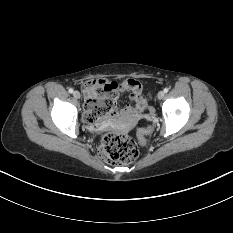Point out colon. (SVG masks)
Instances as JSON below:
<instances>
[{
    "mask_svg": "<svg viewBox=\"0 0 233 233\" xmlns=\"http://www.w3.org/2000/svg\"><path fill=\"white\" fill-rule=\"evenodd\" d=\"M116 87L115 82L108 80H89L84 85L86 99L88 101L97 100L98 105L94 106L88 121L102 118L114 111L116 107ZM150 131L145 128L140 131V138ZM99 154L102 159L111 164H128L138 156V148L133 139L125 135L107 133L103 135L99 147Z\"/></svg>",
    "mask_w": 233,
    "mask_h": 233,
    "instance_id": "1",
    "label": "colon"
}]
</instances>
